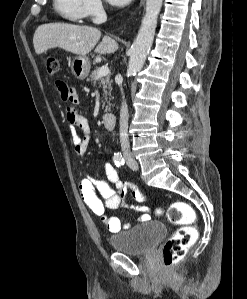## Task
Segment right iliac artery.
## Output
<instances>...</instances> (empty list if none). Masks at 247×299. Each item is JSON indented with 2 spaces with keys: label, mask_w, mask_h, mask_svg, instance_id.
Listing matches in <instances>:
<instances>
[{
  "label": "right iliac artery",
  "mask_w": 247,
  "mask_h": 299,
  "mask_svg": "<svg viewBox=\"0 0 247 299\" xmlns=\"http://www.w3.org/2000/svg\"><path fill=\"white\" fill-rule=\"evenodd\" d=\"M113 159H114L116 166L124 165V163H125V159L121 153L114 154Z\"/></svg>",
  "instance_id": "1"
}]
</instances>
